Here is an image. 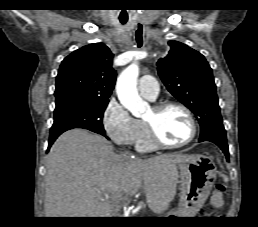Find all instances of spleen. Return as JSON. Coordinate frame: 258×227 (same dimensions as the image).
<instances>
[{
    "label": "spleen",
    "mask_w": 258,
    "mask_h": 227,
    "mask_svg": "<svg viewBox=\"0 0 258 227\" xmlns=\"http://www.w3.org/2000/svg\"><path fill=\"white\" fill-rule=\"evenodd\" d=\"M224 181L228 182V177L227 176L224 177Z\"/></svg>",
    "instance_id": "obj_1"
}]
</instances>
